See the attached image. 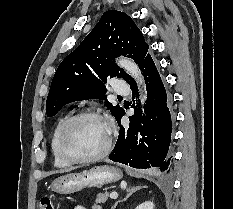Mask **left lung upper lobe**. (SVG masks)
Listing matches in <instances>:
<instances>
[{
	"mask_svg": "<svg viewBox=\"0 0 233 209\" xmlns=\"http://www.w3.org/2000/svg\"><path fill=\"white\" fill-rule=\"evenodd\" d=\"M148 48L130 16L116 10L105 12L90 34L60 63L47 97V116H54L70 102L106 100L107 78L119 77L127 83L131 79L114 59L123 55L140 66L148 55ZM105 105L115 118L123 110L108 101Z\"/></svg>",
	"mask_w": 233,
	"mask_h": 209,
	"instance_id": "5c2ea615",
	"label": "left lung upper lobe"
}]
</instances>
